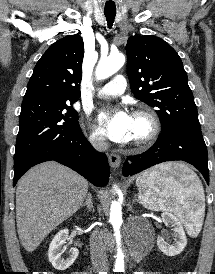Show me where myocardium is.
<instances>
[{"instance_id":"1","label":"myocardium","mask_w":215,"mask_h":274,"mask_svg":"<svg viewBox=\"0 0 215 274\" xmlns=\"http://www.w3.org/2000/svg\"><path fill=\"white\" fill-rule=\"evenodd\" d=\"M133 116L144 119L147 122L148 130L142 137L131 140V144L137 147L151 144L161 131V123L157 114L149 108H140L134 111Z\"/></svg>"}]
</instances>
